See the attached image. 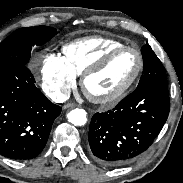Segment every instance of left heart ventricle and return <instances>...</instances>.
Here are the masks:
<instances>
[{"label": "left heart ventricle", "instance_id": "b2bd125f", "mask_svg": "<svg viewBox=\"0 0 183 183\" xmlns=\"http://www.w3.org/2000/svg\"><path fill=\"white\" fill-rule=\"evenodd\" d=\"M138 57L132 51L117 54L108 66L92 75L86 82V90L95 96L106 97L123 88L135 74Z\"/></svg>", "mask_w": 183, "mask_h": 183}]
</instances>
